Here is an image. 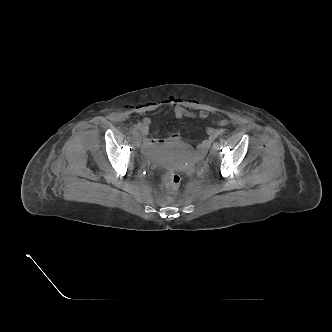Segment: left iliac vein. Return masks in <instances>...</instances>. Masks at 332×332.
I'll use <instances>...</instances> for the list:
<instances>
[{
    "mask_svg": "<svg viewBox=\"0 0 332 332\" xmlns=\"http://www.w3.org/2000/svg\"><path fill=\"white\" fill-rule=\"evenodd\" d=\"M216 152H217V149H216L215 147H212L211 150H210V153H211L212 155H215Z\"/></svg>",
    "mask_w": 332,
    "mask_h": 332,
    "instance_id": "obj_1",
    "label": "left iliac vein"
}]
</instances>
